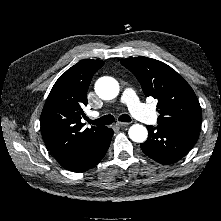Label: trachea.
Returning a JSON list of instances; mask_svg holds the SVG:
<instances>
[{"instance_id": "obj_1", "label": "trachea", "mask_w": 221, "mask_h": 221, "mask_svg": "<svg viewBox=\"0 0 221 221\" xmlns=\"http://www.w3.org/2000/svg\"><path fill=\"white\" fill-rule=\"evenodd\" d=\"M119 121L121 122H131V117L127 114H122L119 116ZM87 121L90 124L96 125V126H103V125H109L112 124L115 121V118L113 115H105L99 119L96 120H90L87 119Z\"/></svg>"}]
</instances>
